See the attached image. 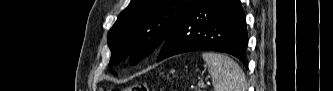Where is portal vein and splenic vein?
Wrapping results in <instances>:
<instances>
[{"mask_svg":"<svg viewBox=\"0 0 333 91\" xmlns=\"http://www.w3.org/2000/svg\"><path fill=\"white\" fill-rule=\"evenodd\" d=\"M205 86V84L204 83H202L201 85H199V87H204Z\"/></svg>","mask_w":333,"mask_h":91,"instance_id":"portal-vein-and-splenic-vein-1","label":"portal vein and splenic vein"}]
</instances>
